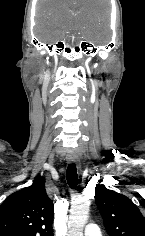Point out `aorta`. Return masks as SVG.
Returning <instances> with one entry per match:
<instances>
[{
  "label": "aorta",
  "mask_w": 145,
  "mask_h": 236,
  "mask_svg": "<svg viewBox=\"0 0 145 236\" xmlns=\"http://www.w3.org/2000/svg\"><path fill=\"white\" fill-rule=\"evenodd\" d=\"M90 201L81 198L72 203L67 236H83V227L88 219Z\"/></svg>",
  "instance_id": "1"
}]
</instances>
